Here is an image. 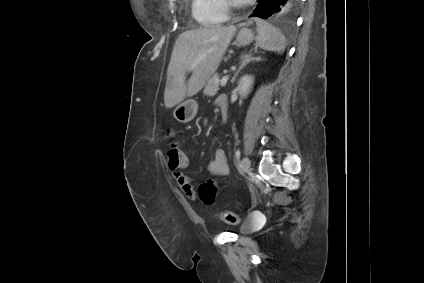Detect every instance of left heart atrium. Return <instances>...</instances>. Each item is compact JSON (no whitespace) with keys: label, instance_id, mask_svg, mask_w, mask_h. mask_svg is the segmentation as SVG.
<instances>
[{"label":"left heart atrium","instance_id":"1","mask_svg":"<svg viewBox=\"0 0 424 283\" xmlns=\"http://www.w3.org/2000/svg\"><path fill=\"white\" fill-rule=\"evenodd\" d=\"M235 1L237 4H246L248 3L250 0H233Z\"/></svg>","mask_w":424,"mask_h":283}]
</instances>
